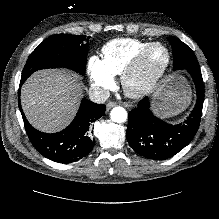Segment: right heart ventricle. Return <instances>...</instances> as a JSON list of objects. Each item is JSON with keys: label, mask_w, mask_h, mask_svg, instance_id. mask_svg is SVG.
Here are the masks:
<instances>
[{"label": "right heart ventricle", "mask_w": 219, "mask_h": 219, "mask_svg": "<svg viewBox=\"0 0 219 219\" xmlns=\"http://www.w3.org/2000/svg\"><path fill=\"white\" fill-rule=\"evenodd\" d=\"M152 42L135 38H116L102 48V62L112 75H120L131 61Z\"/></svg>", "instance_id": "e07e8e85"}]
</instances>
